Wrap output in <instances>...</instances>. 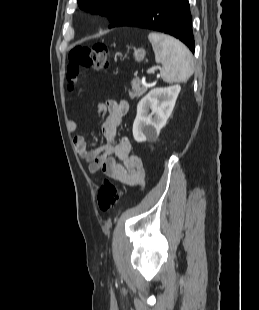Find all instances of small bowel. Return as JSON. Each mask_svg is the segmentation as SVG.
<instances>
[{
  "label": "small bowel",
  "mask_w": 259,
  "mask_h": 310,
  "mask_svg": "<svg viewBox=\"0 0 259 310\" xmlns=\"http://www.w3.org/2000/svg\"><path fill=\"white\" fill-rule=\"evenodd\" d=\"M128 110L129 104L125 100H107L98 104L95 115L104 118L101 125L104 141L93 142L90 145L92 148H89L85 138L76 135L74 147L91 175L102 171L121 184L143 188L145 170L141 158L132 153V144L128 138L123 137L116 142L117 130ZM68 130L76 133L79 122L69 120Z\"/></svg>",
  "instance_id": "small-bowel-1"
}]
</instances>
